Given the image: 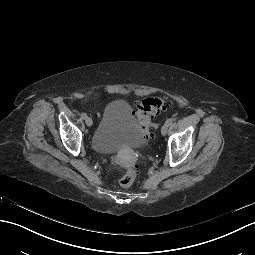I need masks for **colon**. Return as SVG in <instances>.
Segmentation results:
<instances>
[{"mask_svg":"<svg viewBox=\"0 0 255 255\" xmlns=\"http://www.w3.org/2000/svg\"><path fill=\"white\" fill-rule=\"evenodd\" d=\"M168 107L167 100L161 97L145 98L138 104L136 115L146 137L150 135L152 117L165 111ZM136 176L135 167H122L119 171V183L124 188L131 187Z\"/></svg>","mask_w":255,"mask_h":255,"instance_id":"obj_1","label":"colon"}]
</instances>
